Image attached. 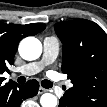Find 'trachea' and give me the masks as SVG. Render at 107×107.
<instances>
[{"mask_svg":"<svg viewBox=\"0 0 107 107\" xmlns=\"http://www.w3.org/2000/svg\"><path fill=\"white\" fill-rule=\"evenodd\" d=\"M18 82H19V83H22L23 81H22L21 78H19V79H18ZM41 85H42L44 88H51V87L53 86V83H52L51 81H49V80H43V81L41 82Z\"/></svg>","mask_w":107,"mask_h":107,"instance_id":"1","label":"trachea"}]
</instances>
